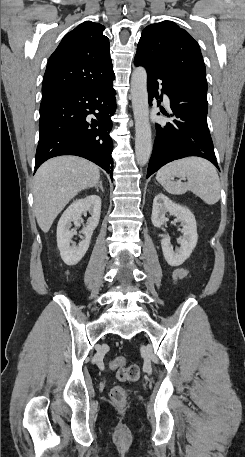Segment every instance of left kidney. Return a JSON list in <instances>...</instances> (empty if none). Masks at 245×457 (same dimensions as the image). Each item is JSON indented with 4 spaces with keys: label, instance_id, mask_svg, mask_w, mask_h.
<instances>
[{
    "label": "left kidney",
    "instance_id": "1",
    "mask_svg": "<svg viewBox=\"0 0 245 457\" xmlns=\"http://www.w3.org/2000/svg\"><path fill=\"white\" fill-rule=\"evenodd\" d=\"M167 212H169V214H174L176 220H180L183 226V229H180L181 233H183V237L177 239L180 249H175V251H173L170 237L162 239L161 247L164 259L167 261L168 265H171V267H179V265H182V263L190 257L193 249L196 247L198 241L196 220L193 212H191L187 206L176 204V202H172L168 196H165L163 192H159L153 200L151 220L154 226H162L166 220H169V218L165 216Z\"/></svg>",
    "mask_w": 245,
    "mask_h": 457
}]
</instances>
